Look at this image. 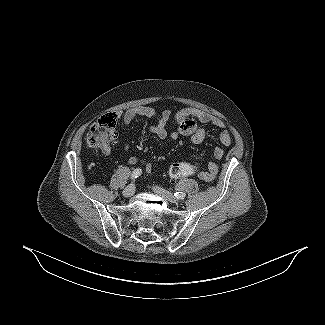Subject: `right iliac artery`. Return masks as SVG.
<instances>
[{
    "mask_svg": "<svg viewBox=\"0 0 325 325\" xmlns=\"http://www.w3.org/2000/svg\"><path fill=\"white\" fill-rule=\"evenodd\" d=\"M142 174L141 169H135L131 174V179L134 180Z\"/></svg>",
    "mask_w": 325,
    "mask_h": 325,
    "instance_id": "obj_1",
    "label": "right iliac artery"
}]
</instances>
